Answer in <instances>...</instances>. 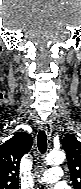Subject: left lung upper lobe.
<instances>
[{"instance_id":"1","label":"left lung upper lobe","mask_w":81,"mask_h":189,"mask_svg":"<svg viewBox=\"0 0 81 189\" xmlns=\"http://www.w3.org/2000/svg\"><path fill=\"white\" fill-rule=\"evenodd\" d=\"M70 169V178L75 189H81V142L73 134H67L62 141Z\"/></svg>"}]
</instances>
